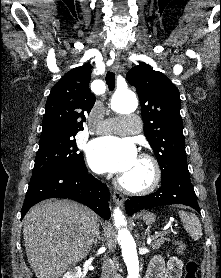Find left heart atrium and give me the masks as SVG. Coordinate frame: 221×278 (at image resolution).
Returning <instances> with one entry per match:
<instances>
[{
	"mask_svg": "<svg viewBox=\"0 0 221 278\" xmlns=\"http://www.w3.org/2000/svg\"><path fill=\"white\" fill-rule=\"evenodd\" d=\"M86 155L95 172L117 175L124 174L137 159L136 147L131 141L113 136L91 141Z\"/></svg>",
	"mask_w": 221,
	"mask_h": 278,
	"instance_id": "left-heart-atrium-1",
	"label": "left heart atrium"
}]
</instances>
